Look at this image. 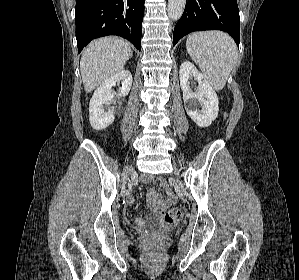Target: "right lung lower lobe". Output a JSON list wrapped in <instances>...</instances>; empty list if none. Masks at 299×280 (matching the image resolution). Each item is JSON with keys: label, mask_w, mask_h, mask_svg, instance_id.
I'll return each mask as SVG.
<instances>
[{"label": "right lung lower lobe", "mask_w": 299, "mask_h": 280, "mask_svg": "<svg viewBox=\"0 0 299 280\" xmlns=\"http://www.w3.org/2000/svg\"><path fill=\"white\" fill-rule=\"evenodd\" d=\"M145 0H77L76 39L78 52L93 39L121 36L141 50Z\"/></svg>", "instance_id": "1"}]
</instances>
